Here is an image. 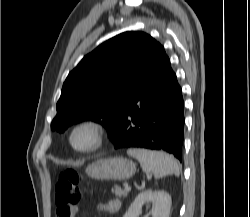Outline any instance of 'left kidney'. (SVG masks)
Listing matches in <instances>:
<instances>
[{
  "instance_id": "1",
  "label": "left kidney",
  "mask_w": 250,
  "mask_h": 217,
  "mask_svg": "<svg viewBox=\"0 0 250 217\" xmlns=\"http://www.w3.org/2000/svg\"><path fill=\"white\" fill-rule=\"evenodd\" d=\"M152 203V217H169L171 196L165 191L146 190L138 194L123 217H138L143 204Z\"/></svg>"
}]
</instances>
